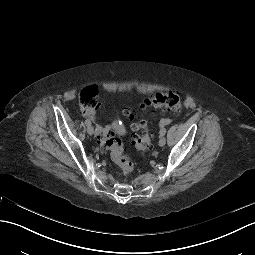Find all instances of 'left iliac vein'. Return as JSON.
Here are the masks:
<instances>
[{
  "label": "left iliac vein",
  "mask_w": 255,
  "mask_h": 255,
  "mask_svg": "<svg viewBox=\"0 0 255 255\" xmlns=\"http://www.w3.org/2000/svg\"><path fill=\"white\" fill-rule=\"evenodd\" d=\"M166 144V138L161 136L159 139V146H164Z\"/></svg>",
  "instance_id": "obj_1"
}]
</instances>
